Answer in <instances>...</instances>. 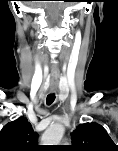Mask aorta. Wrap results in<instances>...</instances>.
Here are the masks:
<instances>
[{
    "mask_svg": "<svg viewBox=\"0 0 118 151\" xmlns=\"http://www.w3.org/2000/svg\"><path fill=\"white\" fill-rule=\"evenodd\" d=\"M64 135V127L60 124L49 126L42 135L43 145H59Z\"/></svg>",
    "mask_w": 118,
    "mask_h": 151,
    "instance_id": "aorta-1",
    "label": "aorta"
}]
</instances>
